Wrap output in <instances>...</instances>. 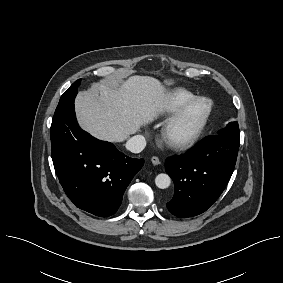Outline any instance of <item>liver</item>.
<instances>
[{"label":"liver","mask_w":283,"mask_h":283,"mask_svg":"<svg viewBox=\"0 0 283 283\" xmlns=\"http://www.w3.org/2000/svg\"><path fill=\"white\" fill-rule=\"evenodd\" d=\"M168 92L149 76H131L126 81L92 84L79 92L75 111L80 126L92 136L112 143L153 122L167 107Z\"/></svg>","instance_id":"liver-1"}]
</instances>
